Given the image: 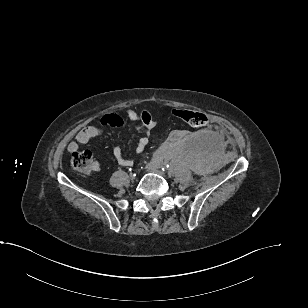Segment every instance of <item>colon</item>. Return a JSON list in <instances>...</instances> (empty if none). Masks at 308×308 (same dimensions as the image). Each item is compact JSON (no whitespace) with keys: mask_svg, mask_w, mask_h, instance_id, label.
<instances>
[{"mask_svg":"<svg viewBox=\"0 0 308 308\" xmlns=\"http://www.w3.org/2000/svg\"><path fill=\"white\" fill-rule=\"evenodd\" d=\"M172 114L194 128L203 127L208 123L207 117L201 112L174 109ZM70 164L73 170L78 173H89L92 169L91 153L89 151H74L71 154Z\"/></svg>","mask_w":308,"mask_h":308,"instance_id":"obj_1","label":"colon"}]
</instances>
